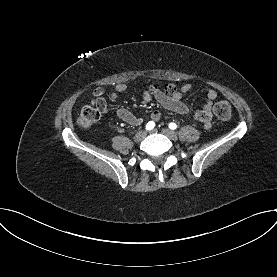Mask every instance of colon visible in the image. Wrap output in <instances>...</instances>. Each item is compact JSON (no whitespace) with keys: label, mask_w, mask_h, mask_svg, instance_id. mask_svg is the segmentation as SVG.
<instances>
[{"label":"colon","mask_w":277,"mask_h":277,"mask_svg":"<svg viewBox=\"0 0 277 277\" xmlns=\"http://www.w3.org/2000/svg\"><path fill=\"white\" fill-rule=\"evenodd\" d=\"M153 92H163L166 94H173L175 87L170 84L161 86H153ZM215 115L221 120H228L231 117V106L227 101H220L214 106ZM101 117V109L95 106H85L82 108L80 115L77 119L79 126L89 128L94 125Z\"/></svg>","instance_id":"colon-1"}]
</instances>
